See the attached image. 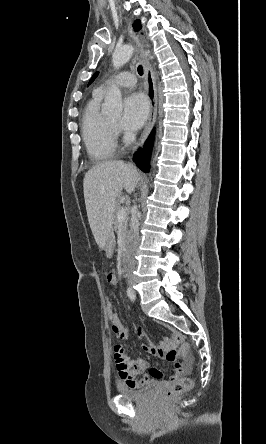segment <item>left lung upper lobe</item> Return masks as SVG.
Returning a JSON list of instances; mask_svg holds the SVG:
<instances>
[{
	"label": "left lung upper lobe",
	"mask_w": 266,
	"mask_h": 444,
	"mask_svg": "<svg viewBox=\"0 0 266 444\" xmlns=\"http://www.w3.org/2000/svg\"><path fill=\"white\" fill-rule=\"evenodd\" d=\"M135 30H139L141 29V24L139 20H136L135 23L133 24ZM99 72H96L93 76L92 79L90 80L89 84H91L93 82V80L97 77Z\"/></svg>",
	"instance_id": "obj_1"
}]
</instances>
